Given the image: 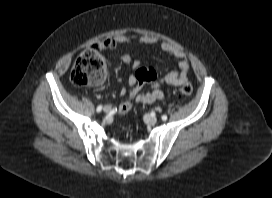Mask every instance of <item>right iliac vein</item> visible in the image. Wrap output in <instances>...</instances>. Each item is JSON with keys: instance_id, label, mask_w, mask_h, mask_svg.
<instances>
[{"instance_id": "obj_1", "label": "right iliac vein", "mask_w": 272, "mask_h": 198, "mask_svg": "<svg viewBox=\"0 0 272 198\" xmlns=\"http://www.w3.org/2000/svg\"><path fill=\"white\" fill-rule=\"evenodd\" d=\"M103 111L105 113H109L111 111V107L109 105H105L104 108H103Z\"/></svg>"}]
</instances>
